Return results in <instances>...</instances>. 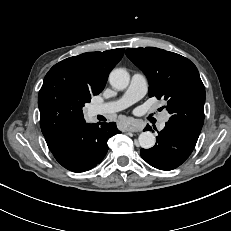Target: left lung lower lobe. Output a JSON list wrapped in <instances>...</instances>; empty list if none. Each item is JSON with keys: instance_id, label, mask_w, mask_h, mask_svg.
<instances>
[{"instance_id": "1", "label": "left lung lower lobe", "mask_w": 231, "mask_h": 231, "mask_svg": "<svg viewBox=\"0 0 231 231\" xmlns=\"http://www.w3.org/2000/svg\"><path fill=\"white\" fill-rule=\"evenodd\" d=\"M144 130H152L147 125ZM199 134L182 125L167 122L158 132L157 141L150 149H141L142 158L151 166L160 170H173L180 166L192 153Z\"/></svg>"}]
</instances>
